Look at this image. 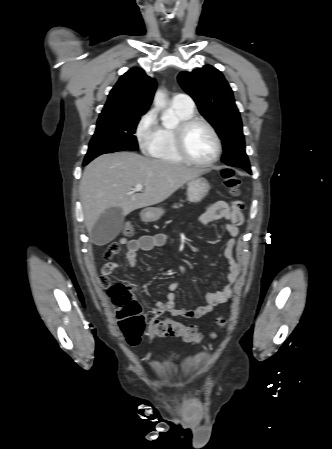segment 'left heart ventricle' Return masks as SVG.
Listing matches in <instances>:
<instances>
[{"label":"left heart ventricle","mask_w":332,"mask_h":449,"mask_svg":"<svg viewBox=\"0 0 332 449\" xmlns=\"http://www.w3.org/2000/svg\"><path fill=\"white\" fill-rule=\"evenodd\" d=\"M185 145L189 155L198 161H208L215 153L213 136L202 124H196L188 129Z\"/></svg>","instance_id":"obj_1"}]
</instances>
